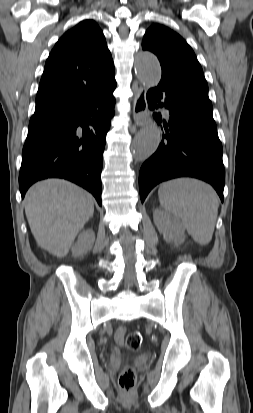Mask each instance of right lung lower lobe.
Wrapping results in <instances>:
<instances>
[{
    "label": "right lung lower lobe",
    "mask_w": 253,
    "mask_h": 413,
    "mask_svg": "<svg viewBox=\"0 0 253 413\" xmlns=\"http://www.w3.org/2000/svg\"><path fill=\"white\" fill-rule=\"evenodd\" d=\"M115 74L99 91L73 102L45 126L28 131L22 151V198L36 181L59 177L91 192L101 205V171L106 134L114 116Z\"/></svg>",
    "instance_id": "right-lung-lower-lobe-1"
}]
</instances>
